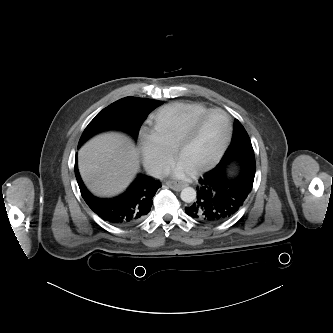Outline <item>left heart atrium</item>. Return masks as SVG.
I'll return each mask as SVG.
<instances>
[{
    "instance_id": "obj_1",
    "label": "left heart atrium",
    "mask_w": 333,
    "mask_h": 333,
    "mask_svg": "<svg viewBox=\"0 0 333 333\" xmlns=\"http://www.w3.org/2000/svg\"><path fill=\"white\" fill-rule=\"evenodd\" d=\"M192 171V169H190L188 166H186L183 162L181 161H177L176 163H174L171 168L169 169V172L175 176V177H185L186 175H188L190 172Z\"/></svg>"
}]
</instances>
